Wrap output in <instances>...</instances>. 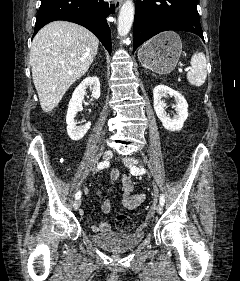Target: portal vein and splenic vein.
I'll return each mask as SVG.
<instances>
[{"mask_svg":"<svg viewBox=\"0 0 240 281\" xmlns=\"http://www.w3.org/2000/svg\"><path fill=\"white\" fill-rule=\"evenodd\" d=\"M188 70H189V69L186 68V69H184V72H188ZM179 72H180V73H183V70H182V69H179Z\"/></svg>","mask_w":240,"mask_h":281,"instance_id":"18ae733b","label":"portal vein and splenic vein"}]
</instances>
